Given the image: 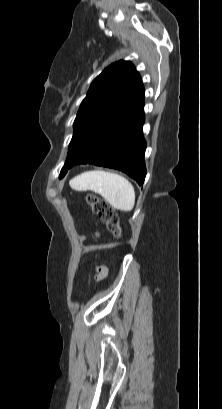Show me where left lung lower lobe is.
<instances>
[{
	"label": "left lung lower lobe",
	"mask_w": 222,
	"mask_h": 409,
	"mask_svg": "<svg viewBox=\"0 0 222 409\" xmlns=\"http://www.w3.org/2000/svg\"><path fill=\"white\" fill-rule=\"evenodd\" d=\"M144 102L135 100L119 116L104 127L75 158L70 168L78 164H94L121 170L139 185L146 176L142 134Z\"/></svg>",
	"instance_id": "obj_1"
}]
</instances>
